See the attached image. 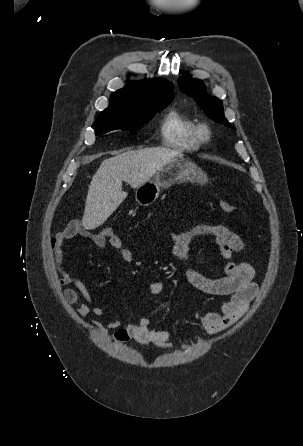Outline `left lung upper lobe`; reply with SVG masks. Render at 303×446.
Listing matches in <instances>:
<instances>
[{
	"mask_svg": "<svg viewBox=\"0 0 303 446\" xmlns=\"http://www.w3.org/2000/svg\"><path fill=\"white\" fill-rule=\"evenodd\" d=\"M180 89L189 96H193L204 113L214 120L230 126L224 116L222 102L217 98L207 94L206 86L202 80L191 78L190 76L180 77L178 80Z\"/></svg>",
	"mask_w": 303,
	"mask_h": 446,
	"instance_id": "left-lung-upper-lobe-1",
	"label": "left lung upper lobe"
}]
</instances>
